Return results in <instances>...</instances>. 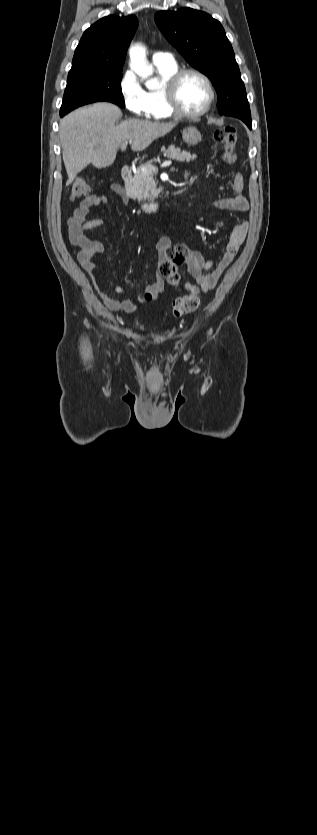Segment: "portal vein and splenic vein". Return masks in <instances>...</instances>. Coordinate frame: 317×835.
I'll return each mask as SVG.
<instances>
[{
  "instance_id": "obj_1",
  "label": "portal vein and splenic vein",
  "mask_w": 317,
  "mask_h": 835,
  "mask_svg": "<svg viewBox=\"0 0 317 835\" xmlns=\"http://www.w3.org/2000/svg\"><path fill=\"white\" fill-rule=\"evenodd\" d=\"M126 147H127V142H124V143H123V144H121V146H120L121 150H123V151H124V150H126ZM171 165H172V162H171V161H165V162H163V163L161 164V167H162V168H164V167H169V166H171ZM150 170L157 171V170H158V168H156V167H151L150 169L145 168V167H144V168H142V171H143V172H148V171H150Z\"/></svg>"
}]
</instances>
